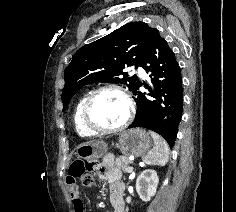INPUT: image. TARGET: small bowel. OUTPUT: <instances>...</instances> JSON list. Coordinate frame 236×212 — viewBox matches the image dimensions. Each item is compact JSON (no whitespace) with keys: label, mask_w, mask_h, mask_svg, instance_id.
<instances>
[{"label":"small bowel","mask_w":236,"mask_h":212,"mask_svg":"<svg viewBox=\"0 0 236 212\" xmlns=\"http://www.w3.org/2000/svg\"><path fill=\"white\" fill-rule=\"evenodd\" d=\"M100 174L101 177L105 179L109 184L110 199L114 211L123 212L124 205L122 201V194L124 186L120 180V172L115 169H108L104 166ZM66 182L70 188L74 212H84L83 200L80 195V187H78V184H81L82 180L78 179V175L70 174L66 175Z\"/></svg>","instance_id":"1"}]
</instances>
